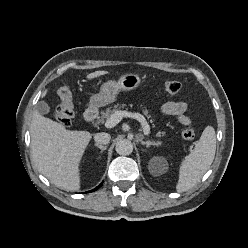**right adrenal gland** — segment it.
Returning <instances> with one entry per match:
<instances>
[{"label":"right adrenal gland","instance_id":"2a0ac1e0","mask_svg":"<svg viewBox=\"0 0 248 248\" xmlns=\"http://www.w3.org/2000/svg\"><path fill=\"white\" fill-rule=\"evenodd\" d=\"M95 147L99 148L101 150V152H103L104 150L107 149V146H102V145H99V144H95Z\"/></svg>","mask_w":248,"mask_h":248}]
</instances>
